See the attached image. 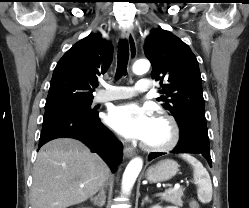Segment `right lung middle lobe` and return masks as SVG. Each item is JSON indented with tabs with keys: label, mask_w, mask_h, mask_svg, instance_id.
<instances>
[{
	"label": "right lung middle lobe",
	"mask_w": 249,
	"mask_h": 208,
	"mask_svg": "<svg viewBox=\"0 0 249 208\" xmlns=\"http://www.w3.org/2000/svg\"><path fill=\"white\" fill-rule=\"evenodd\" d=\"M92 100L67 103L52 108H45V112L51 110L64 111V112H76L83 115L92 116L97 113L96 110L91 109Z\"/></svg>",
	"instance_id": "dd1d6c3e"
}]
</instances>
